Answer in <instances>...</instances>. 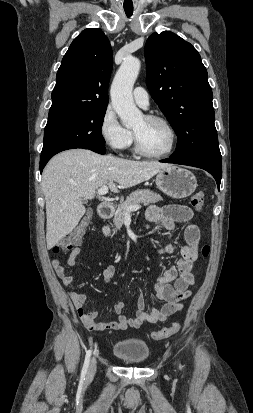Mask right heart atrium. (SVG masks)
I'll return each mask as SVG.
<instances>
[{
	"instance_id": "1",
	"label": "right heart atrium",
	"mask_w": 253,
	"mask_h": 413,
	"mask_svg": "<svg viewBox=\"0 0 253 413\" xmlns=\"http://www.w3.org/2000/svg\"><path fill=\"white\" fill-rule=\"evenodd\" d=\"M99 131L104 142L114 150H126L132 144V132L119 122L111 107L105 109L100 119Z\"/></svg>"
}]
</instances>
